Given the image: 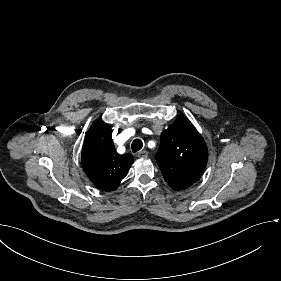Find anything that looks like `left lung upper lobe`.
I'll list each match as a JSON object with an SVG mask.
<instances>
[{"mask_svg": "<svg viewBox=\"0 0 281 281\" xmlns=\"http://www.w3.org/2000/svg\"><path fill=\"white\" fill-rule=\"evenodd\" d=\"M207 160V146L185 116H179L162 132L156 161L171 188L182 190L194 184L203 174Z\"/></svg>", "mask_w": 281, "mask_h": 281, "instance_id": "5c2ea615", "label": "left lung upper lobe"}]
</instances>
